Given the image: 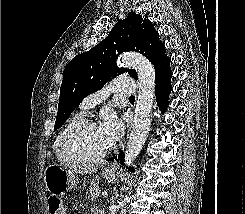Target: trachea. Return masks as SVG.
I'll return each instance as SVG.
<instances>
[{
    "instance_id": "3493384b",
    "label": "trachea",
    "mask_w": 245,
    "mask_h": 214,
    "mask_svg": "<svg viewBox=\"0 0 245 214\" xmlns=\"http://www.w3.org/2000/svg\"><path fill=\"white\" fill-rule=\"evenodd\" d=\"M129 99H135V96H130Z\"/></svg>"
}]
</instances>
